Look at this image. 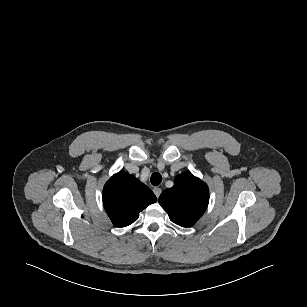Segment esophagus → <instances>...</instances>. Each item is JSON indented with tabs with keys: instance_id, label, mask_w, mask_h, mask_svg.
I'll return each instance as SVG.
<instances>
[{
	"instance_id": "1",
	"label": "esophagus",
	"mask_w": 307,
	"mask_h": 307,
	"mask_svg": "<svg viewBox=\"0 0 307 307\" xmlns=\"http://www.w3.org/2000/svg\"><path fill=\"white\" fill-rule=\"evenodd\" d=\"M153 192H154V194L156 195V197L159 198V196H160L162 190H161V188H159V187H155V188H153Z\"/></svg>"
}]
</instances>
